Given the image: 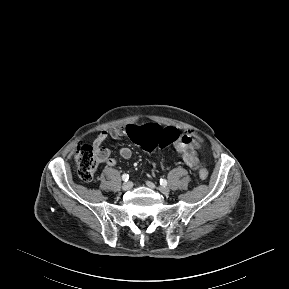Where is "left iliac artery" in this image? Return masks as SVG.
Masks as SVG:
<instances>
[{
  "instance_id": "obj_1",
  "label": "left iliac artery",
  "mask_w": 289,
  "mask_h": 289,
  "mask_svg": "<svg viewBox=\"0 0 289 289\" xmlns=\"http://www.w3.org/2000/svg\"><path fill=\"white\" fill-rule=\"evenodd\" d=\"M160 184H161L162 186H166V185H167V180H165V179H160Z\"/></svg>"
}]
</instances>
